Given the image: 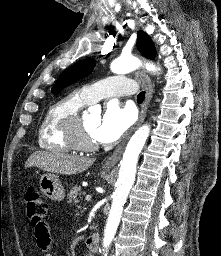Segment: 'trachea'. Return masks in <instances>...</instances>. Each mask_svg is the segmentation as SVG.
Wrapping results in <instances>:
<instances>
[{"label": "trachea", "instance_id": "trachea-1", "mask_svg": "<svg viewBox=\"0 0 221 256\" xmlns=\"http://www.w3.org/2000/svg\"><path fill=\"white\" fill-rule=\"evenodd\" d=\"M144 99H145V91H142V92H140V93L138 94V96H137V101H138L139 103H142V102L144 101Z\"/></svg>", "mask_w": 221, "mask_h": 256}]
</instances>
